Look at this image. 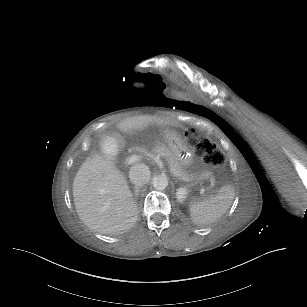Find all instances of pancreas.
<instances>
[{
	"label": "pancreas",
	"instance_id": "pancreas-1",
	"mask_svg": "<svg viewBox=\"0 0 307 307\" xmlns=\"http://www.w3.org/2000/svg\"><path fill=\"white\" fill-rule=\"evenodd\" d=\"M155 152L156 153H160L161 155L167 156V159L170 163V168L172 173H174L176 175V177L178 178H185V179H190L191 178V173L186 171L185 168L180 167V163L178 161L177 156H175V154H173L171 149H166V146L164 144H159L156 148H155ZM195 179L196 180H201L202 179V174L201 173H196L195 174Z\"/></svg>",
	"mask_w": 307,
	"mask_h": 307
}]
</instances>
